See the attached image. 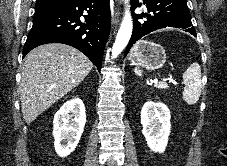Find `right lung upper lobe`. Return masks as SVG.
<instances>
[{"label":"right lung upper lobe","instance_id":"obj_1","mask_svg":"<svg viewBox=\"0 0 227 166\" xmlns=\"http://www.w3.org/2000/svg\"><path fill=\"white\" fill-rule=\"evenodd\" d=\"M67 1H69V0H37L35 6H48V7H52V6H56V5L65 3Z\"/></svg>","mask_w":227,"mask_h":166}]
</instances>
